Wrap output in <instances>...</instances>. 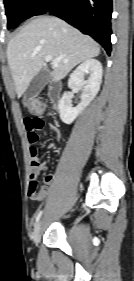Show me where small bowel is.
<instances>
[{"instance_id":"obj_1","label":"small bowel","mask_w":134,"mask_h":281,"mask_svg":"<svg viewBox=\"0 0 134 281\" xmlns=\"http://www.w3.org/2000/svg\"><path fill=\"white\" fill-rule=\"evenodd\" d=\"M24 125L27 131L28 140L30 144V155H31V163H30V179L31 181H36L37 177L40 174L41 168L43 167V163H41L37 159V147L36 143L39 139L38 132L43 130L45 127V121L43 118L39 116L30 117L27 116L24 118ZM52 132L55 134L56 140L49 144L50 148H55L60 139V131L54 126L50 125ZM56 179L55 173H49L45 176L44 182L46 185H51Z\"/></svg>"}]
</instances>
